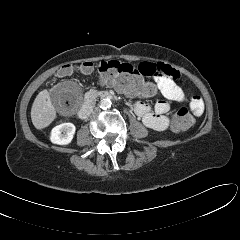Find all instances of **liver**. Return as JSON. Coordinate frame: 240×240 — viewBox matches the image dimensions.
Returning a JSON list of instances; mask_svg holds the SVG:
<instances>
[{
    "label": "liver",
    "instance_id": "obj_1",
    "mask_svg": "<svg viewBox=\"0 0 240 240\" xmlns=\"http://www.w3.org/2000/svg\"><path fill=\"white\" fill-rule=\"evenodd\" d=\"M56 118V110L52 105L49 92L41 91L35 98L31 108V120L36 129L49 126Z\"/></svg>",
    "mask_w": 240,
    "mask_h": 240
}]
</instances>
